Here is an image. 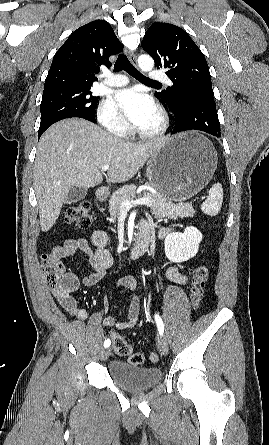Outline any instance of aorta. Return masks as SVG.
Here are the masks:
<instances>
[{"label": "aorta", "instance_id": "1", "mask_svg": "<svg viewBox=\"0 0 269 445\" xmlns=\"http://www.w3.org/2000/svg\"><path fill=\"white\" fill-rule=\"evenodd\" d=\"M138 64L139 67L145 72L151 71L154 67V61L149 55H141L138 58Z\"/></svg>", "mask_w": 269, "mask_h": 445}]
</instances>
